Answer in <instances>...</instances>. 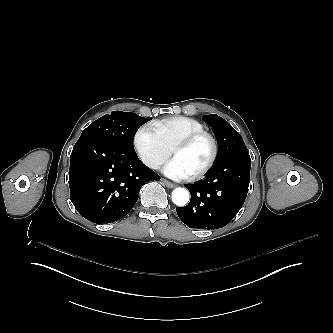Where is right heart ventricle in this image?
Instances as JSON below:
<instances>
[{
	"label": "right heart ventricle",
	"mask_w": 333,
	"mask_h": 333,
	"mask_svg": "<svg viewBox=\"0 0 333 333\" xmlns=\"http://www.w3.org/2000/svg\"><path fill=\"white\" fill-rule=\"evenodd\" d=\"M152 126L170 149L184 137L205 131L200 122L181 115L169 116Z\"/></svg>",
	"instance_id": "e07e8e85"
}]
</instances>
